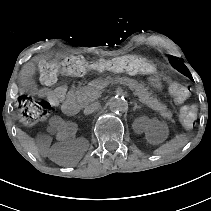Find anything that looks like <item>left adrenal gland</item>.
<instances>
[{"mask_svg": "<svg viewBox=\"0 0 211 211\" xmlns=\"http://www.w3.org/2000/svg\"><path fill=\"white\" fill-rule=\"evenodd\" d=\"M133 104H134L133 110H136V109H140L141 108L135 101L133 102Z\"/></svg>", "mask_w": 211, "mask_h": 211, "instance_id": "1", "label": "left adrenal gland"}]
</instances>
